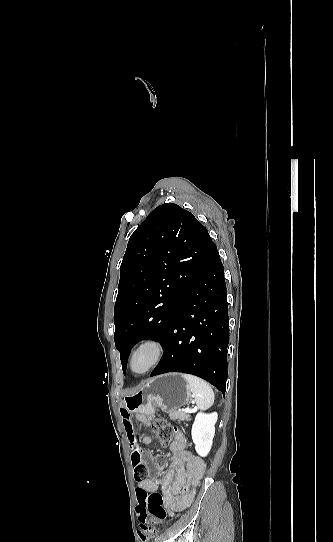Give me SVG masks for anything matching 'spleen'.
<instances>
[{"mask_svg":"<svg viewBox=\"0 0 333 542\" xmlns=\"http://www.w3.org/2000/svg\"><path fill=\"white\" fill-rule=\"evenodd\" d=\"M181 376L187 382L198 410L211 408L214 404V392L211 386L197 376H191V374H181Z\"/></svg>","mask_w":333,"mask_h":542,"instance_id":"obj_1","label":"spleen"}]
</instances>
